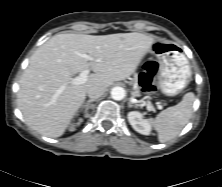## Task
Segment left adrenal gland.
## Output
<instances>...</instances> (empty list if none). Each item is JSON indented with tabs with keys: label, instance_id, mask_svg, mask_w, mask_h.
Wrapping results in <instances>:
<instances>
[{
	"label": "left adrenal gland",
	"instance_id": "1",
	"mask_svg": "<svg viewBox=\"0 0 222 187\" xmlns=\"http://www.w3.org/2000/svg\"><path fill=\"white\" fill-rule=\"evenodd\" d=\"M128 107H129V108H132V107H135V106L131 103V101H129V102H128Z\"/></svg>",
	"mask_w": 222,
	"mask_h": 187
}]
</instances>
